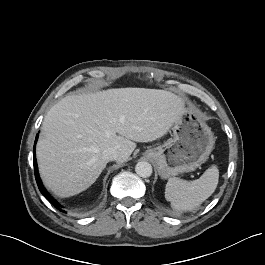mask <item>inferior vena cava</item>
<instances>
[{"label": "inferior vena cava", "mask_w": 265, "mask_h": 265, "mask_svg": "<svg viewBox=\"0 0 265 265\" xmlns=\"http://www.w3.org/2000/svg\"><path fill=\"white\" fill-rule=\"evenodd\" d=\"M118 156H119V154H118L117 150L114 148H108V149L104 150V152H103V157L107 161L117 160Z\"/></svg>", "instance_id": "obj_1"}]
</instances>
